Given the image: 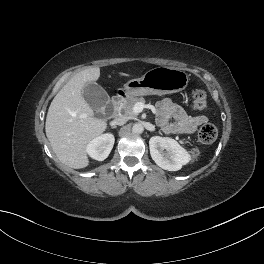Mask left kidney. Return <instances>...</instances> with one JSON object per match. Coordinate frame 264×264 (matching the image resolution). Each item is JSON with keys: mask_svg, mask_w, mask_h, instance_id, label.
Wrapping results in <instances>:
<instances>
[{"mask_svg": "<svg viewBox=\"0 0 264 264\" xmlns=\"http://www.w3.org/2000/svg\"><path fill=\"white\" fill-rule=\"evenodd\" d=\"M149 149L154 162L164 170H180L190 161L189 153L177 141L169 137H151Z\"/></svg>", "mask_w": 264, "mask_h": 264, "instance_id": "obj_1", "label": "left kidney"}]
</instances>
